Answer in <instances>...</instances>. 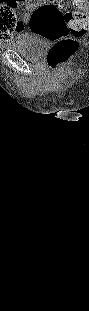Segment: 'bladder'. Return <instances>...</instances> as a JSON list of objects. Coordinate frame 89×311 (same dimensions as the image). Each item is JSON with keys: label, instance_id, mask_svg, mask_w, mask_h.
Listing matches in <instances>:
<instances>
[{"label": "bladder", "instance_id": "obj_1", "mask_svg": "<svg viewBox=\"0 0 89 311\" xmlns=\"http://www.w3.org/2000/svg\"><path fill=\"white\" fill-rule=\"evenodd\" d=\"M9 48L26 59L35 60L42 56L44 46L35 38L25 37L23 40L10 44Z\"/></svg>", "mask_w": 89, "mask_h": 311}]
</instances>
